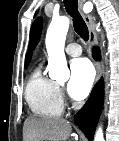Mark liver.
I'll return each mask as SVG.
<instances>
[{"instance_id": "liver-1", "label": "liver", "mask_w": 119, "mask_h": 141, "mask_svg": "<svg viewBox=\"0 0 119 141\" xmlns=\"http://www.w3.org/2000/svg\"><path fill=\"white\" fill-rule=\"evenodd\" d=\"M23 130L24 141H66L71 125L64 119L28 117Z\"/></svg>"}]
</instances>
